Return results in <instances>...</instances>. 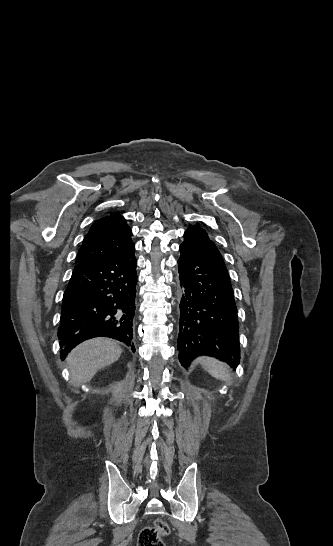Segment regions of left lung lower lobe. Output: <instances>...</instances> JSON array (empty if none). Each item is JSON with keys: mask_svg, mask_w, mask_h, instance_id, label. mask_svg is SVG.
I'll return each mask as SVG.
<instances>
[{"mask_svg": "<svg viewBox=\"0 0 333 546\" xmlns=\"http://www.w3.org/2000/svg\"><path fill=\"white\" fill-rule=\"evenodd\" d=\"M179 250V278L185 287L180 303V363L187 368L197 356L209 355L236 368L238 311L223 258L207 232L197 226L185 231Z\"/></svg>", "mask_w": 333, "mask_h": 546, "instance_id": "1", "label": "left lung lower lobe"}]
</instances>
